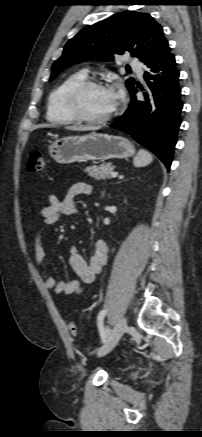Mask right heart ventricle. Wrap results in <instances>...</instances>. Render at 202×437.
<instances>
[{
	"mask_svg": "<svg viewBox=\"0 0 202 437\" xmlns=\"http://www.w3.org/2000/svg\"><path fill=\"white\" fill-rule=\"evenodd\" d=\"M86 79V74L76 72L62 80L49 94L47 99V120L53 124L64 125L74 123L76 120L65 108V97L69 90L77 83Z\"/></svg>",
	"mask_w": 202,
	"mask_h": 437,
	"instance_id": "obj_1",
	"label": "right heart ventricle"
}]
</instances>
